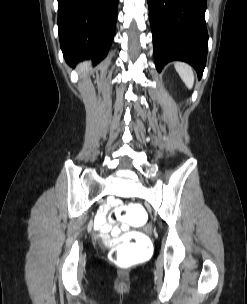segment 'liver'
I'll return each mask as SVG.
<instances>
[{"mask_svg": "<svg viewBox=\"0 0 247 304\" xmlns=\"http://www.w3.org/2000/svg\"><path fill=\"white\" fill-rule=\"evenodd\" d=\"M85 68H87V64L84 63V64L82 65V69H85Z\"/></svg>", "mask_w": 247, "mask_h": 304, "instance_id": "1", "label": "liver"}]
</instances>
